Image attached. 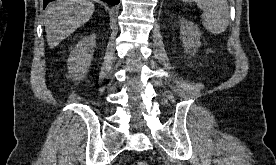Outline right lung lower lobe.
<instances>
[{
	"label": "right lung lower lobe",
	"instance_id": "right-lung-lower-lobe-1",
	"mask_svg": "<svg viewBox=\"0 0 276 165\" xmlns=\"http://www.w3.org/2000/svg\"><path fill=\"white\" fill-rule=\"evenodd\" d=\"M51 1H54V0H44V7ZM102 1H105L110 5H116L119 3L120 0H102Z\"/></svg>",
	"mask_w": 276,
	"mask_h": 165
}]
</instances>
